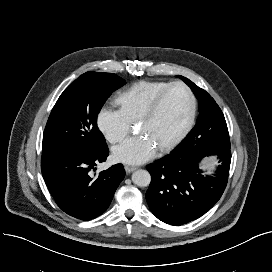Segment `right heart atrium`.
Returning a JSON list of instances; mask_svg holds the SVG:
<instances>
[{"label": "right heart atrium", "instance_id": "obj_1", "mask_svg": "<svg viewBox=\"0 0 272 272\" xmlns=\"http://www.w3.org/2000/svg\"><path fill=\"white\" fill-rule=\"evenodd\" d=\"M95 124L101 135L112 144L123 140L131 129V121L124 113L107 103L98 109Z\"/></svg>", "mask_w": 272, "mask_h": 272}]
</instances>
